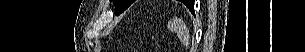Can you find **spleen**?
Segmentation results:
<instances>
[{"instance_id": "1", "label": "spleen", "mask_w": 305, "mask_h": 52, "mask_svg": "<svg viewBox=\"0 0 305 52\" xmlns=\"http://www.w3.org/2000/svg\"><path fill=\"white\" fill-rule=\"evenodd\" d=\"M173 28L177 32V35L179 37L180 34H181V29H180V26H179V22H177V20H174Z\"/></svg>"}]
</instances>
